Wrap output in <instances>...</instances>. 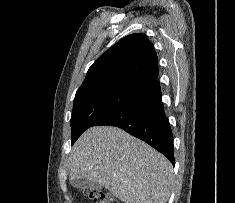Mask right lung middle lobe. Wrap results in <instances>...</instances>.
Returning a JSON list of instances; mask_svg holds the SVG:
<instances>
[{
	"instance_id": "dd1d6c3e",
	"label": "right lung middle lobe",
	"mask_w": 235,
	"mask_h": 203,
	"mask_svg": "<svg viewBox=\"0 0 235 203\" xmlns=\"http://www.w3.org/2000/svg\"><path fill=\"white\" fill-rule=\"evenodd\" d=\"M148 87L130 82H106L76 92L71 117V143L89 127L122 106L140 96Z\"/></svg>"
}]
</instances>
